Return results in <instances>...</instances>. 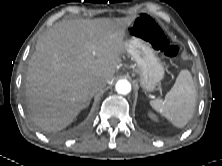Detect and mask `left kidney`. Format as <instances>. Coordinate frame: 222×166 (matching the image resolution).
Instances as JSON below:
<instances>
[{
    "label": "left kidney",
    "instance_id": "left-kidney-1",
    "mask_svg": "<svg viewBox=\"0 0 222 166\" xmlns=\"http://www.w3.org/2000/svg\"><path fill=\"white\" fill-rule=\"evenodd\" d=\"M148 116L150 117V119H152L153 121H157V117L155 116V114H153L152 112L148 113Z\"/></svg>",
    "mask_w": 222,
    "mask_h": 166
}]
</instances>
